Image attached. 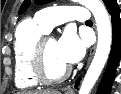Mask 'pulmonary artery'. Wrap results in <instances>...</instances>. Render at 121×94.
I'll list each match as a JSON object with an SVG mask.
<instances>
[{"mask_svg": "<svg viewBox=\"0 0 121 94\" xmlns=\"http://www.w3.org/2000/svg\"><path fill=\"white\" fill-rule=\"evenodd\" d=\"M89 18L88 10L79 6L49 7L35 14V19L46 28L47 31L67 21L86 22Z\"/></svg>", "mask_w": 121, "mask_h": 94, "instance_id": "obj_1", "label": "pulmonary artery"}]
</instances>
